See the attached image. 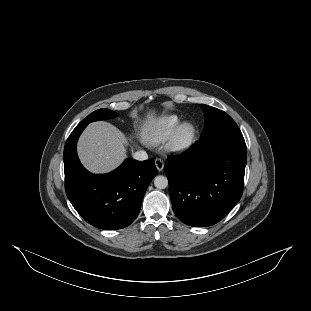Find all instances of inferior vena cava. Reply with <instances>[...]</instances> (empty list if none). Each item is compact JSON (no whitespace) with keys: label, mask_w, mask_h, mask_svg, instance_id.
Masks as SVG:
<instances>
[{"label":"inferior vena cava","mask_w":311,"mask_h":311,"mask_svg":"<svg viewBox=\"0 0 311 311\" xmlns=\"http://www.w3.org/2000/svg\"><path fill=\"white\" fill-rule=\"evenodd\" d=\"M133 158L138 161H145L148 159V154L143 150H139L133 154Z\"/></svg>","instance_id":"obj_1"}]
</instances>
